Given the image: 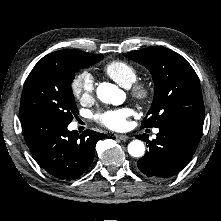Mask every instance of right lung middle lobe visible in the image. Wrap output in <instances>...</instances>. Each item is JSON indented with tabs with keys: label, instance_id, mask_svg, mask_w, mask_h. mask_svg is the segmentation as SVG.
Masks as SVG:
<instances>
[{
	"label": "right lung middle lobe",
	"instance_id": "obj_1",
	"mask_svg": "<svg viewBox=\"0 0 221 221\" xmlns=\"http://www.w3.org/2000/svg\"><path fill=\"white\" fill-rule=\"evenodd\" d=\"M102 59L99 54L65 63H37L24 83L20 115L39 113L70 123L78 112L71 88L75 72Z\"/></svg>",
	"mask_w": 221,
	"mask_h": 221
}]
</instances>
